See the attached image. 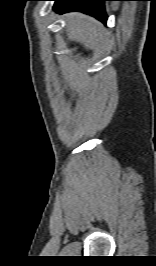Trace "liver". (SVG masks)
Listing matches in <instances>:
<instances>
[{
    "mask_svg": "<svg viewBox=\"0 0 156 266\" xmlns=\"http://www.w3.org/2000/svg\"><path fill=\"white\" fill-rule=\"evenodd\" d=\"M66 19L68 36L87 49H93L104 38L102 25L95 19L81 13L68 14Z\"/></svg>",
    "mask_w": 156,
    "mask_h": 266,
    "instance_id": "1",
    "label": "liver"
}]
</instances>
